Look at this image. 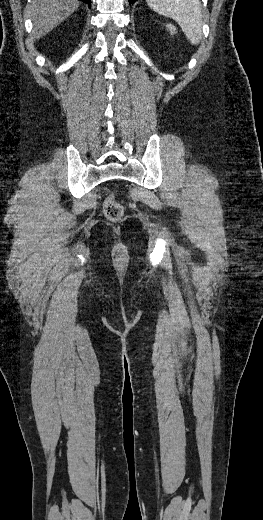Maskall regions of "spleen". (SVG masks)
Segmentation results:
<instances>
[{
    "label": "spleen",
    "mask_w": 263,
    "mask_h": 520,
    "mask_svg": "<svg viewBox=\"0 0 263 520\" xmlns=\"http://www.w3.org/2000/svg\"><path fill=\"white\" fill-rule=\"evenodd\" d=\"M155 12L174 19L192 45L202 37V6L200 0H146Z\"/></svg>",
    "instance_id": "1"
}]
</instances>
